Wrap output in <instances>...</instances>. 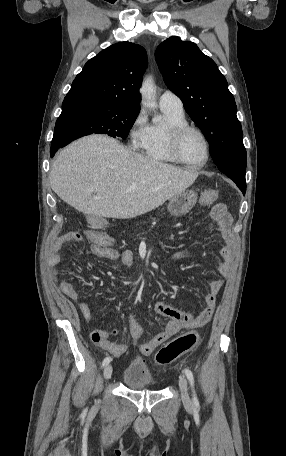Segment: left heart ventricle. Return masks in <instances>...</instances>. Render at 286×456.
Wrapping results in <instances>:
<instances>
[{"mask_svg": "<svg viewBox=\"0 0 286 456\" xmlns=\"http://www.w3.org/2000/svg\"><path fill=\"white\" fill-rule=\"evenodd\" d=\"M179 150L181 155L192 163H200L206 156L204 140L194 131H188L182 136Z\"/></svg>", "mask_w": 286, "mask_h": 456, "instance_id": "obj_1", "label": "left heart ventricle"}]
</instances>
